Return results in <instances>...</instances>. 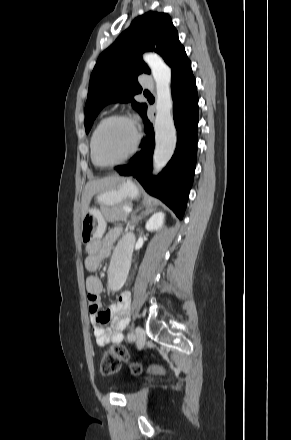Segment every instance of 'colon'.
I'll return each mask as SVG.
<instances>
[{
  "instance_id": "1",
  "label": "colon",
  "mask_w": 291,
  "mask_h": 440,
  "mask_svg": "<svg viewBox=\"0 0 291 440\" xmlns=\"http://www.w3.org/2000/svg\"><path fill=\"white\" fill-rule=\"evenodd\" d=\"M109 320V317L104 316L101 319V323L106 324L109 322ZM121 361H124L128 364L131 373H140V363L131 361L127 349L121 344L112 345L110 349L104 353L100 363V370L105 375L115 374L120 368Z\"/></svg>"
}]
</instances>
